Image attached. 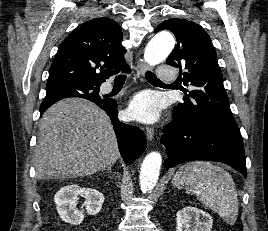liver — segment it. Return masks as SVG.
Returning <instances> with one entry per match:
<instances>
[{"instance_id":"6515ba94","label":"liver","mask_w":268,"mask_h":231,"mask_svg":"<svg viewBox=\"0 0 268 231\" xmlns=\"http://www.w3.org/2000/svg\"><path fill=\"white\" fill-rule=\"evenodd\" d=\"M119 157L111 121L96 104L69 98L43 114L33 159L37 179L89 176Z\"/></svg>"}]
</instances>
